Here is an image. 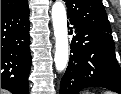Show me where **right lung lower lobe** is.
<instances>
[{"mask_svg":"<svg viewBox=\"0 0 121 94\" xmlns=\"http://www.w3.org/2000/svg\"><path fill=\"white\" fill-rule=\"evenodd\" d=\"M29 7L1 15V88L28 94L31 68Z\"/></svg>","mask_w":121,"mask_h":94,"instance_id":"98d812e1","label":"right lung lower lobe"}]
</instances>
